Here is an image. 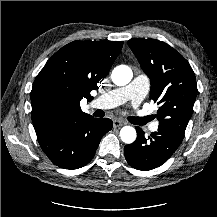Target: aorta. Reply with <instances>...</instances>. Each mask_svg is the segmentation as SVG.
<instances>
[{
  "label": "aorta",
  "mask_w": 217,
  "mask_h": 217,
  "mask_svg": "<svg viewBox=\"0 0 217 217\" xmlns=\"http://www.w3.org/2000/svg\"><path fill=\"white\" fill-rule=\"evenodd\" d=\"M133 77L132 70L127 65H119L112 71V81L117 86L127 85ZM136 130L131 126H124L120 130V138L124 143L131 144L136 139Z\"/></svg>",
  "instance_id": "obj_1"
}]
</instances>
